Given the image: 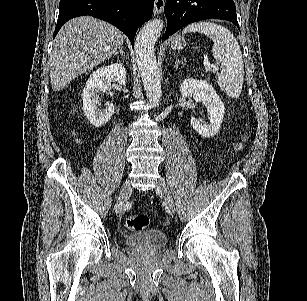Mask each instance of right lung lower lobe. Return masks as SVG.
Listing matches in <instances>:
<instances>
[{"instance_id": "obj_1", "label": "right lung lower lobe", "mask_w": 307, "mask_h": 301, "mask_svg": "<svg viewBox=\"0 0 307 301\" xmlns=\"http://www.w3.org/2000/svg\"><path fill=\"white\" fill-rule=\"evenodd\" d=\"M153 6L154 0H60L54 37L68 20L90 15L119 28L133 45L137 29L150 19Z\"/></svg>"}]
</instances>
